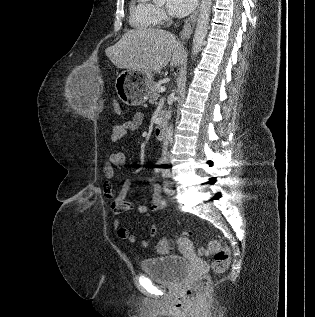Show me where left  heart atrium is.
Returning <instances> with one entry per match:
<instances>
[{"mask_svg": "<svg viewBox=\"0 0 315 317\" xmlns=\"http://www.w3.org/2000/svg\"><path fill=\"white\" fill-rule=\"evenodd\" d=\"M197 0H169L168 8L171 14L176 16H185L195 7Z\"/></svg>", "mask_w": 315, "mask_h": 317, "instance_id": "left-heart-atrium-1", "label": "left heart atrium"}]
</instances>
